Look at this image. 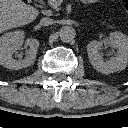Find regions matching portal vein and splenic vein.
Returning a JSON list of instances; mask_svg holds the SVG:
<instances>
[{"label":"portal vein and splenic vein","instance_id":"obj_1","mask_svg":"<svg viewBox=\"0 0 128 128\" xmlns=\"http://www.w3.org/2000/svg\"><path fill=\"white\" fill-rule=\"evenodd\" d=\"M55 5L59 6L63 2V0H52Z\"/></svg>","mask_w":128,"mask_h":128}]
</instances>
